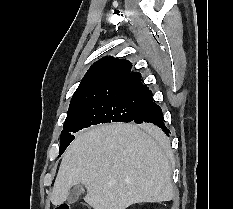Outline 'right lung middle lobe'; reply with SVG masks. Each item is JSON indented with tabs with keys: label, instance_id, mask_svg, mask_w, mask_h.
Wrapping results in <instances>:
<instances>
[{
	"label": "right lung middle lobe",
	"instance_id": "right-lung-middle-lobe-1",
	"mask_svg": "<svg viewBox=\"0 0 233 209\" xmlns=\"http://www.w3.org/2000/svg\"><path fill=\"white\" fill-rule=\"evenodd\" d=\"M145 106L122 101H101L68 110L60 137L59 157L75 138L73 133L100 123L131 122ZM142 127L149 128L145 125Z\"/></svg>",
	"mask_w": 233,
	"mask_h": 209
}]
</instances>
